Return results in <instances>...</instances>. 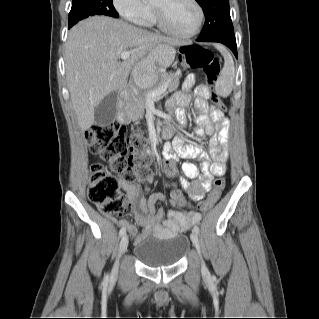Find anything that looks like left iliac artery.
I'll use <instances>...</instances> for the list:
<instances>
[{
  "mask_svg": "<svg viewBox=\"0 0 319 319\" xmlns=\"http://www.w3.org/2000/svg\"><path fill=\"white\" fill-rule=\"evenodd\" d=\"M195 233H199V227L198 226H194V230H193Z\"/></svg>",
  "mask_w": 319,
  "mask_h": 319,
  "instance_id": "left-iliac-artery-1",
  "label": "left iliac artery"
}]
</instances>
